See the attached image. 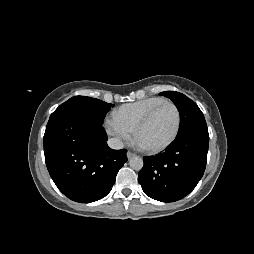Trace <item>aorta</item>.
I'll return each mask as SVG.
<instances>
[{
  "instance_id": "aorta-1",
  "label": "aorta",
  "mask_w": 254,
  "mask_h": 254,
  "mask_svg": "<svg viewBox=\"0 0 254 254\" xmlns=\"http://www.w3.org/2000/svg\"><path fill=\"white\" fill-rule=\"evenodd\" d=\"M130 167L136 171H139L143 167V159L139 156L132 157L129 161Z\"/></svg>"
}]
</instances>
